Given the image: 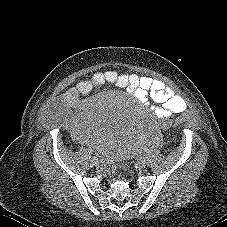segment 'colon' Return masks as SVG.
Segmentation results:
<instances>
[{"mask_svg": "<svg viewBox=\"0 0 227 227\" xmlns=\"http://www.w3.org/2000/svg\"><path fill=\"white\" fill-rule=\"evenodd\" d=\"M161 125L167 131H181L183 129L182 119L174 112H167L161 118ZM130 164L127 165L129 167ZM115 167L112 160L107 161V168L113 170Z\"/></svg>", "mask_w": 227, "mask_h": 227, "instance_id": "5ec220e1", "label": "colon"}]
</instances>
